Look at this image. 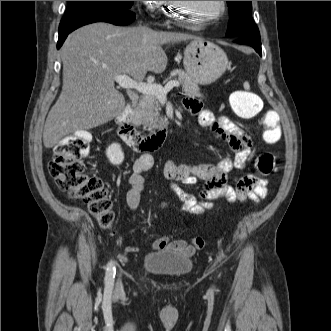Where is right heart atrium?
<instances>
[{"mask_svg": "<svg viewBox=\"0 0 331 331\" xmlns=\"http://www.w3.org/2000/svg\"><path fill=\"white\" fill-rule=\"evenodd\" d=\"M137 3L141 8L139 16H143L144 19H155L162 1H137Z\"/></svg>", "mask_w": 331, "mask_h": 331, "instance_id": "obj_1", "label": "right heart atrium"}]
</instances>
